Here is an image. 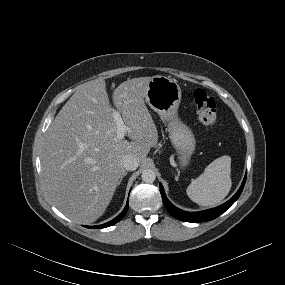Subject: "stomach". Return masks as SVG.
<instances>
[{
  "instance_id": "stomach-1",
  "label": "stomach",
  "mask_w": 285,
  "mask_h": 285,
  "mask_svg": "<svg viewBox=\"0 0 285 285\" xmlns=\"http://www.w3.org/2000/svg\"><path fill=\"white\" fill-rule=\"evenodd\" d=\"M181 88L176 80L154 76L145 92L146 103L166 122L169 138L176 149L180 165L186 167L195 151V138L190 128L177 115L181 102Z\"/></svg>"
}]
</instances>
